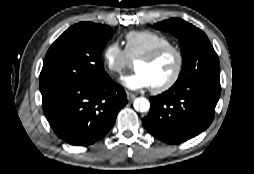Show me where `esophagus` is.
<instances>
[{
  "label": "esophagus",
  "instance_id": "esophagus-1",
  "mask_svg": "<svg viewBox=\"0 0 254 174\" xmlns=\"http://www.w3.org/2000/svg\"><path fill=\"white\" fill-rule=\"evenodd\" d=\"M136 98V94L135 93H132V92H130V91H127V99L129 100V101H132V100H134Z\"/></svg>",
  "mask_w": 254,
  "mask_h": 174
}]
</instances>
